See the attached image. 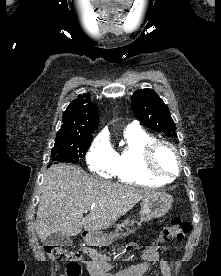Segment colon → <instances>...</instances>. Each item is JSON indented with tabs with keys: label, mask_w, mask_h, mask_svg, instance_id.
I'll return each mask as SVG.
<instances>
[{
	"label": "colon",
	"mask_w": 221,
	"mask_h": 276,
	"mask_svg": "<svg viewBox=\"0 0 221 276\" xmlns=\"http://www.w3.org/2000/svg\"><path fill=\"white\" fill-rule=\"evenodd\" d=\"M191 230V225L179 217H173L163 228L159 235L160 243L180 241ZM44 251L47 256L59 262H67L66 276H79L80 266L77 260L81 257L80 253L69 252L61 246L45 245Z\"/></svg>",
	"instance_id": "5ec220e1"
}]
</instances>
